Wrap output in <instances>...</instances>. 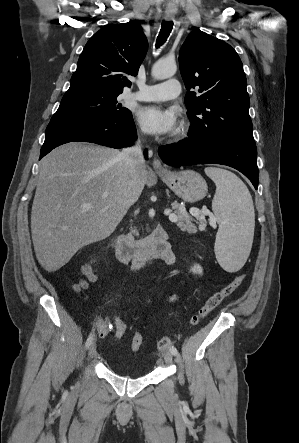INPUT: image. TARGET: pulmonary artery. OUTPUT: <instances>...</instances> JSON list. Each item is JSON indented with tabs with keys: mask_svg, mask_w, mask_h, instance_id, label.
Listing matches in <instances>:
<instances>
[{
	"mask_svg": "<svg viewBox=\"0 0 299 443\" xmlns=\"http://www.w3.org/2000/svg\"><path fill=\"white\" fill-rule=\"evenodd\" d=\"M133 97L140 101H166L179 96L181 86L177 79H169L155 85L140 84Z\"/></svg>",
	"mask_w": 299,
	"mask_h": 443,
	"instance_id": "1",
	"label": "pulmonary artery"
}]
</instances>
